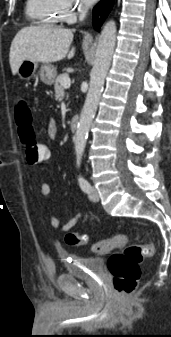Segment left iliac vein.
I'll return each mask as SVG.
<instances>
[{"label": "left iliac vein", "instance_id": "obj_1", "mask_svg": "<svg viewBox=\"0 0 171 337\" xmlns=\"http://www.w3.org/2000/svg\"><path fill=\"white\" fill-rule=\"evenodd\" d=\"M89 199L91 201L97 202L99 201V194H98V190L95 187L91 188V191L89 193Z\"/></svg>", "mask_w": 171, "mask_h": 337}]
</instances>
